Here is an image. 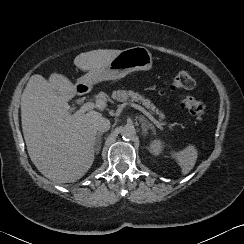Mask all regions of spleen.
<instances>
[{"label": "spleen", "mask_w": 244, "mask_h": 244, "mask_svg": "<svg viewBox=\"0 0 244 244\" xmlns=\"http://www.w3.org/2000/svg\"><path fill=\"white\" fill-rule=\"evenodd\" d=\"M168 154L176 160L183 175L188 174L193 169L198 158V150L194 144H188L179 151L170 150Z\"/></svg>", "instance_id": "3e777b00"}]
</instances>
